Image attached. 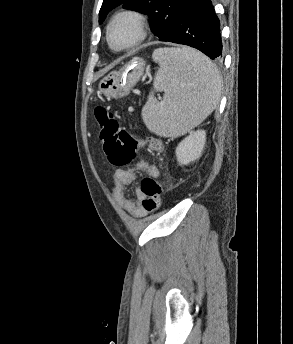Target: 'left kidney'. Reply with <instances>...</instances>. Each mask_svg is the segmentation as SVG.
Masks as SVG:
<instances>
[{"instance_id": "5707ae66", "label": "left kidney", "mask_w": 293, "mask_h": 344, "mask_svg": "<svg viewBox=\"0 0 293 344\" xmlns=\"http://www.w3.org/2000/svg\"><path fill=\"white\" fill-rule=\"evenodd\" d=\"M206 142V132L197 130L191 132L176 147V157L180 165H188L197 160L203 151Z\"/></svg>"}]
</instances>
